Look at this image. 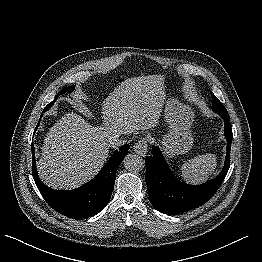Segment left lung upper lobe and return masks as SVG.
<instances>
[{
  "mask_svg": "<svg viewBox=\"0 0 262 262\" xmlns=\"http://www.w3.org/2000/svg\"><path fill=\"white\" fill-rule=\"evenodd\" d=\"M211 96L213 99L212 103V109L214 112H227L225 107L221 104V102L218 100V98L211 92Z\"/></svg>",
  "mask_w": 262,
  "mask_h": 262,
  "instance_id": "1",
  "label": "left lung upper lobe"
}]
</instances>
